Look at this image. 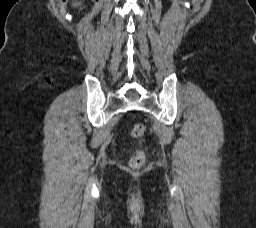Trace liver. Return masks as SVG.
Returning <instances> with one entry per match:
<instances>
[{
    "label": "liver",
    "instance_id": "obj_1",
    "mask_svg": "<svg viewBox=\"0 0 256 228\" xmlns=\"http://www.w3.org/2000/svg\"><path fill=\"white\" fill-rule=\"evenodd\" d=\"M78 5H80V4L79 3H75V4L73 3V6H78Z\"/></svg>",
    "mask_w": 256,
    "mask_h": 228
}]
</instances>
